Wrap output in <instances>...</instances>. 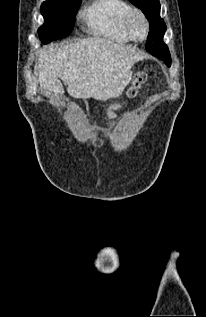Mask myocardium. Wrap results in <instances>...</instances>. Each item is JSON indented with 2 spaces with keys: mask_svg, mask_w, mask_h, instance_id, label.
<instances>
[{
  "mask_svg": "<svg viewBox=\"0 0 206 317\" xmlns=\"http://www.w3.org/2000/svg\"><path fill=\"white\" fill-rule=\"evenodd\" d=\"M135 16H139L142 21L144 22V25H145V35L143 38H138L135 36V34L133 33V30H132V27H131V23H132V19L135 17ZM123 25H124V30L125 32L127 33V35L131 38V40L133 41H137V42H142L144 40L147 39L148 35H149V32H150V24H149V20L146 16V14L144 13L143 10H141L140 8H131L125 18H124V22H123Z\"/></svg>",
  "mask_w": 206,
  "mask_h": 317,
  "instance_id": "obj_1",
  "label": "myocardium"
}]
</instances>
